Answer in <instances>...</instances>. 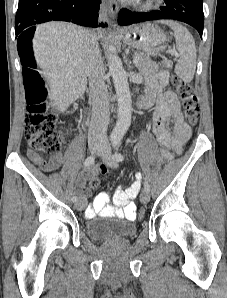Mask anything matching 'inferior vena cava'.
<instances>
[{"instance_id": "inferior-vena-cava-1", "label": "inferior vena cava", "mask_w": 227, "mask_h": 298, "mask_svg": "<svg viewBox=\"0 0 227 298\" xmlns=\"http://www.w3.org/2000/svg\"><path fill=\"white\" fill-rule=\"evenodd\" d=\"M84 62L92 98V117L88 139L103 142L107 139L106 131L110 117L109 95L104 82L105 69L95 35H89L86 40Z\"/></svg>"}]
</instances>
